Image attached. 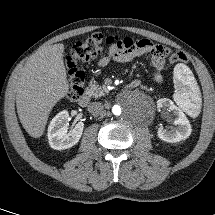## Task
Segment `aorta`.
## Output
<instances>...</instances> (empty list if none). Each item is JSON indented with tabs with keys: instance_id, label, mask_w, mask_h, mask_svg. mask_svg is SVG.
I'll return each instance as SVG.
<instances>
[{
	"instance_id": "1",
	"label": "aorta",
	"mask_w": 215,
	"mask_h": 215,
	"mask_svg": "<svg viewBox=\"0 0 215 215\" xmlns=\"http://www.w3.org/2000/svg\"><path fill=\"white\" fill-rule=\"evenodd\" d=\"M113 113L116 115H120L121 114V108L119 106H115L113 108Z\"/></svg>"
}]
</instances>
